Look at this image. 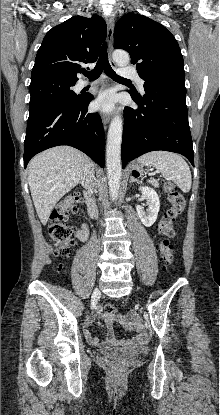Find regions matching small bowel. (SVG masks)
Returning <instances> with one entry per match:
<instances>
[{
	"instance_id": "1",
	"label": "small bowel",
	"mask_w": 220,
	"mask_h": 415,
	"mask_svg": "<svg viewBox=\"0 0 220 415\" xmlns=\"http://www.w3.org/2000/svg\"><path fill=\"white\" fill-rule=\"evenodd\" d=\"M77 236L82 241H87L89 237V227L87 224L83 223L79 227L77 231ZM104 317L103 313L101 311H98L94 316L88 318L86 320L83 332L86 340L88 343L92 346L99 347L103 352L109 350V348L112 345H118V346H126L128 344H138L140 342L139 338L134 339L132 342H129L127 340H117L112 334V326L109 324V337L106 341L101 342L97 336L92 332L91 325L95 323L97 318ZM107 317V316H106ZM109 320H112L113 318L107 317Z\"/></svg>"
}]
</instances>
